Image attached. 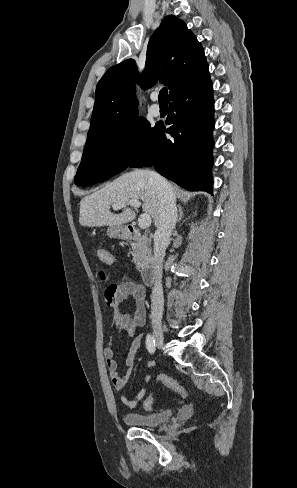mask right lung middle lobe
I'll list each match as a JSON object with an SVG mask.
<instances>
[{
    "label": "right lung middle lobe",
    "mask_w": 297,
    "mask_h": 488,
    "mask_svg": "<svg viewBox=\"0 0 297 488\" xmlns=\"http://www.w3.org/2000/svg\"><path fill=\"white\" fill-rule=\"evenodd\" d=\"M157 130L156 126L151 128L148 121L139 117L124 126L88 137L75 184L94 185L125 170L146 149Z\"/></svg>",
    "instance_id": "right-lung-middle-lobe-1"
}]
</instances>
